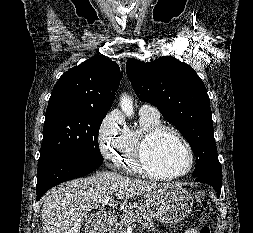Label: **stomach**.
<instances>
[{"instance_id": "obj_1", "label": "stomach", "mask_w": 253, "mask_h": 233, "mask_svg": "<svg viewBox=\"0 0 253 233\" xmlns=\"http://www.w3.org/2000/svg\"><path fill=\"white\" fill-rule=\"evenodd\" d=\"M145 207L150 215L165 224L182 221L193 208L190 192L179 185L168 184L147 192Z\"/></svg>"}]
</instances>
